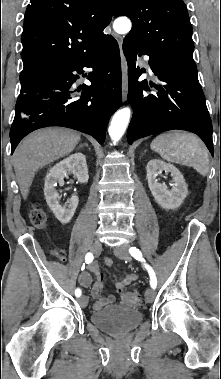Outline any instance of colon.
Returning <instances> with one entry per match:
<instances>
[{
  "instance_id": "colon-1",
  "label": "colon",
  "mask_w": 221,
  "mask_h": 379,
  "mask_svg": "<svg viewBox=\"0 0 221 379\" xmlns=\"http://www.w3.org/2000/svg\"><path fill=\"white\" fill-rule=\"evenodd\" d=\"M32 224L38 228H42L46 224V215L41 207L35 206L30 214ZM121 303L128 306H136L141 303V299L136 293L126 292L122 294Z\"/></svg>"
}]
</instances>
